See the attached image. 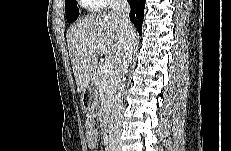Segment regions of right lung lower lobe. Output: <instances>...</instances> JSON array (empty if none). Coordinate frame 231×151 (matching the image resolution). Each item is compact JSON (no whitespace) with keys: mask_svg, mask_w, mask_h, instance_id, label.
<instances>
[{"mask_svg":"<svg viewBox=\"0 0 231 151\" xmlns=\"http://www.w3.org/2000/svg\"><path fill=\"white\" fill-rule=\"evenodd\" d=\"M131 11L129 14L130 20L136 26L139 34L142 32V23L144 18L145 0H127Z\"/></svg>","mask_w":231,"mask_h":151,"instance_id":"98d812e1","label":"right lung lower lobe"}]
</instances>
